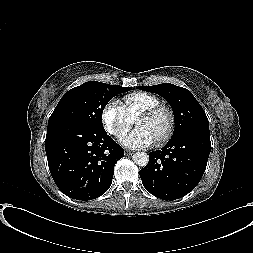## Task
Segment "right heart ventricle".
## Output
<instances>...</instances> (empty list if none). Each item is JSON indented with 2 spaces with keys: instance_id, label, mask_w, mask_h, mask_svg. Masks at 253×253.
I'll use <instances>...</instances> for the list:
<instances>
[{
  "instance_id": "obj_1",
  "label": "right heart ventricle",
  "mask_w": 253,
  "mask_h": 253,
  "mask_svg": "<svg viewBox=\"0 0 253 253\" xmlns=\"http://www.w3.org/2000/svg\"><path fill=\"white\" fill-rule=\"evenodd\" d=\"M160 99L151 93L137 91L124 96L122 105L131 119H134L143 110L159 105Z\"/></svg>"
}]
</instances>
